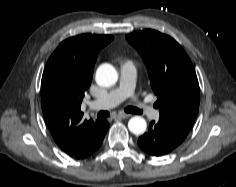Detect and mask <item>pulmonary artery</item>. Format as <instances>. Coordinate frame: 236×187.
Here are the masks:
<instances>
[{"instance_id": "1", "label": "pulmonary artery", "mask_w": 236, "mask_h": 187, "mask_svg": "<svg viewBox=\"0 0 236 187\" xmlns=\"http://www.w3.org/2000/svg\"><path fill=\"white\" fill-rule=\"evenodd\" d=\"M120 74L121 77L119 86L108 92L103 97L91 101V109H108L116 106L126 98L133 95L137 77V71L134 64L129 61L123 63L120 68ZM134 105L148 118H154L158 113L144 100L135 99Z\"/></svg>"}]
</instances>
